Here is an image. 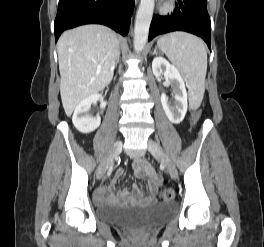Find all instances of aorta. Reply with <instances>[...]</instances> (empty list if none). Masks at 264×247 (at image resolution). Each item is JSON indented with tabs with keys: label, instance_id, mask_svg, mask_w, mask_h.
<instances>
[{
	"label": "aorta",
	"instance_id": "aorta-1",
	"mask_svg": "<svg viewBox=\"0 0 264 247\" xmlns=\"http://www.w3.org/2000/svg\"><path fill=\"white\" fill-rule=\"evenodd\" d=\"M154 5L155 0L140 1L134 27V49L136 52H141L147 43Z\"/></svg>",
	"mask_w": 264,
	"mask_h": 247
}]
</instances>
